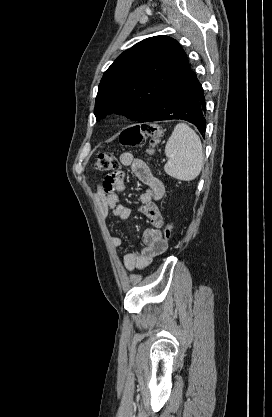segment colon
<instances>
[{"label":"colon","mask_w":272,"mask_h":417,"mask_svg":"<svg viewBox=\"0 0 272 417\" xmlns=\"http://www.w3.org/2000/svg\"><path fill=\"white\" fill-rule=\"evenodd\" d=\"M161 137L162 130L159 125L155 123H146L125 129L120 135V143L125 147H138L141 146L146 139H150V146L147 153L151 156ZM94 167L98 172L114 173L119 169V161L111 153H101L97 156ZM173 229L174 224L169 222L163 232L164 241L167 242L171 238Z\"/></svg>","instance_id":"colon-1"}]
</instances>
